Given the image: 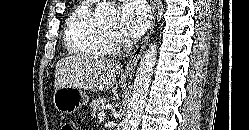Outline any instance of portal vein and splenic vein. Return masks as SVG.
Returning a JSON list of instances; mask_svg holds the SVG:
<instances>
[{"label":"portal vein and splenic vein","instance_id":"portal-vein-and-splenic-vein-1","mask_svg":"<svg viewBox=\"0 0 249 130\" xmlns=\"http://www.w3.org/2000/svg\"><path fill=\"white\" fill-rule=\"evenodd\" d=\"M105 117H106V115H105L104 112H101V113L98 114V119H99L100 121L104 120Z\"/></svg>","mask_w":249,"mask_h":130}]
</instances>
